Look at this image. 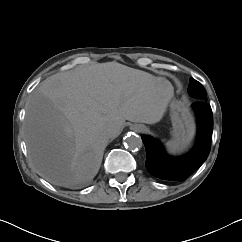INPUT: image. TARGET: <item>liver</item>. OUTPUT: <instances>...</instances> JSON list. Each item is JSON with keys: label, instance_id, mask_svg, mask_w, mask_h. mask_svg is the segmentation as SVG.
I'll list each match as a JSON object with an SVG mask.
<instances>
[{"label": "liver", "instance_id": "6515ba94", "mask_svg": "<svg viewBox=\"0 0 242 242\" xmlns=\"http://www.w3.org/2000/svg\"><path fill=\"white\" fill-rule=\"evenodd\" d=\"M172 84L118 62L98 63L45 79L26 103L24 135L32 165L52 184L77 186L99 171L109 125L159 122Z\"/></svg>", "mask_w": 242, "mask_h": 242}]
</instances>
